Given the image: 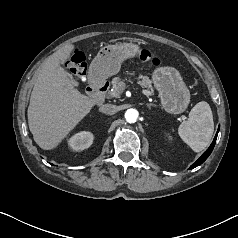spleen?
<instances>
[{"mask_svg":"<svg viewBox=\"0 0 238 238\" xmlns=\"http://www.w3.org/2000/svg\"><path fill=\"white\" fill-rule=\"evenodd\" d=\"M213 132L212 110L205 101L197 103L191 109L188 120L178 128L181 139L195 152H201L209 145Z\"/></svg>","mask_w":238,"mask_h":238,"instance_id":"obj_1","label":"spleen"}]
</instances>
